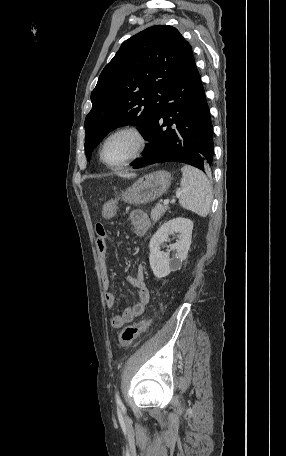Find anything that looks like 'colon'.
<instances>
[{"instance_id": "colon-1", "label": "colon", "mask_w": 286, "mask_h": 456, "mask_svg": "<svg viewBox=\"0 0 286 456\" xmlns=\"http://www.w3.org/2000/svg\"><path fill=\"white\" fill-rule=\"evenodd\" d=\"M150 324L151 319H146L124 328L119 336L120 345L127 346L133 343L142 333L146 331Z\"/></svg>"}]
</instances>
